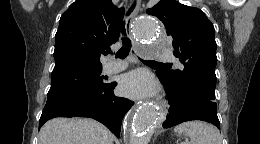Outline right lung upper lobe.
<instances>
[{
    "label": "right lung upper lobe",
    "instance_id": "obj_1",
    "mask_svg": "<svg viewBox=\"0 0 260 144\" xmlns=\"http://www.w3.org/2000/svg\"><path fill=\"white\" fill-rule=\"evenodd\" d=\"M124 8L111 0H77L61 16L55 35L58 70L74 65L102 66L100 55L120 36Z\"/></svg>",
    "mask_w": 260,
    "mask_h": 144
}]
</instances>
